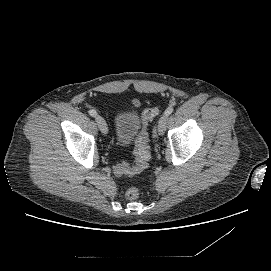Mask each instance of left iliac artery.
Segmentation results:
<instances>
[{
	"label": "left iliac artery",
	"instance_id": "obj_1",
	"mask_svg": "<svg viewBox=\"0 0 271 271\" xmlns=\"http://www.w3.org/2000/svg\"><path fill=\"white\" fill-rule=\"evenodd\" d=\"M173 112V107H168L165 112L164 115L169 116L171 113ZM155 131V130H154Z\"/></svg>",
	"mask_w": 271,
	"mask_h": 271
}]
</instances>
